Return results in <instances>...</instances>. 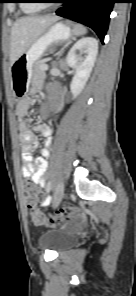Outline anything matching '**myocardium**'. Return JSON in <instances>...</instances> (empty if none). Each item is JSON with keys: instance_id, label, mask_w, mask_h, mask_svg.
<instances>
[{"instance_id": "f54148a6", "label": "myocardium", "mask_w": 136, "mask_h": 296, "mask_svg": "<svg viewBox=\"0 0 136 296\" xmlns=\"http://www.w3.org/2000/svg\"><path fill=\"white\" fill-rule=\"evenodd\" d=\"M39 1V5L41 6V7H43V6H48L49 4L48 3H45L44 1L45 0H38Z\"/></svg>"}]
</instances>
